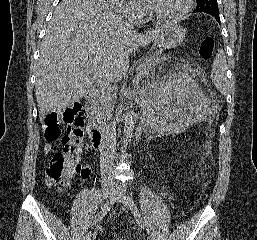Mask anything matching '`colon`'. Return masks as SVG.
Here are the masks:
<instances>
[{
	"label": "colon",
	"instance_id": "obj_1",
	"mask_svg": "<svg viewBox=\"0 0 257 240\" xmlns=\"http://www.w3.org/2000/svg\"><path fill=\"white\" fill-rule=\"evenodd\" d=\"M214 47V39L205 37L199 45V56L206 61L211 59ZM63 127H65L64 134H62ZM84 137V113L80 104L75 103L62 112H51L46 116V141L61 140L63 144V150L52 156L47 167L48 183L66 187L74 176L82 177L86 174V169L80 163Z\"/></svg>",
	"mask_w": 257,
	"mask_h": 240
}]
</instances>
